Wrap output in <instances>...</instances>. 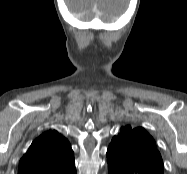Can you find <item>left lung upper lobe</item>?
Wrapping results in <instances>:
<instances>
[{"label":"left lung upper lobe","mask_w":187,"mask_h":174,"mask_svg":"<svg viewBox=\"0 0 187 174\" xmlns=\"http://www.w3.org/2000/svg\"><path fill=\"white\" fill-rule=\"evenodd\" d=\"M108 171L122 174H163V161L154 139L141 127L121 129L107 150Z\"/></svg>","instance_id":"1"}]
</instances>
